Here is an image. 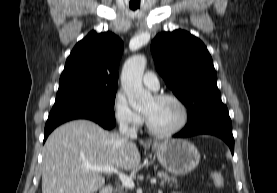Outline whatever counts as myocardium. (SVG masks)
I'll list each match as a JSON object with an SVG mask.
<instances>
[{"label": "myocardium", "instance_id": "myocardium-1", "mask_svg": "<svg viewBox=\"0 0 277 193\" xmlns=\"http://www.w3.org/2000/svg\"><path fill=\"white\" fill-rule=\"evenodd\" d=\"M153 98L156 100H172V101H174L180 107V109L182 111V119H181L180 123L173 129L159 130L151 124L148 116L143 112L147 130L152 135L159 136V137H170V136H173V135L179 133L180 131H182L186 127V125L189 121V110H188L187 105L184 103V101L180 97H178L177 95L172 94V93L156 94V95H154Z\"/></svg>", "mask_w": 277, "mask_h": 193}]
</instances>
